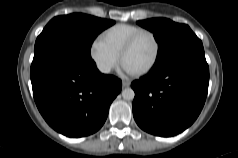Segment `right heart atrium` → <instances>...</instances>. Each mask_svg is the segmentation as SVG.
Returning <instances> with one entry per match:
<instances>
[{"label": "right heart atrium", "instance_id": "1", "mask_svg": "<svg viewBox=\"0 0 238 158\" xmlns=\"http://www.w3.org/2000/svg\"><path fill=\"white\" fill-rule=\"evenodd\" d=\"M90 55L97 68L105 74L110 73L119 63V54L113 51L101 38L92 42Z\"/></svg>", "mask_w": 238, "mask_h": 158}]
</instances>
